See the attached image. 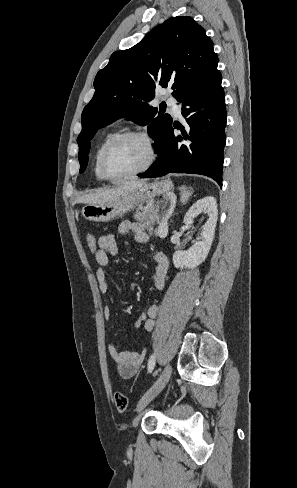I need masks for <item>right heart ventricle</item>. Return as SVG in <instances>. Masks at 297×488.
Instances as JSON below:
<instances>
[{
    "label": "right heart ventricle",
    "instance_id": "right-heart-ventricle-1",
    "mask_svg": "<svg viewBox=\"0 0 297 488\" xmlns=\"http://www.w3.org/2000/svg\"><path fill=\"white\" fill-rule=\"evenodd\" d=\"M118 134H119V130L118 129H111V130L107 131L100 138V140H99V142H98V144H97V146L95 148V151H94V174H95V177L99 181L105 180L104 177L102 176V174L100 172V168H99V159H100L102 150Z\"/></svg>",
    "mask_w": 297,
    "mask_h": 488
}]
</instances>
